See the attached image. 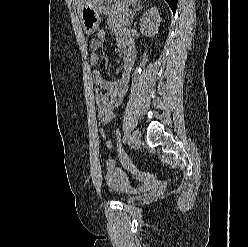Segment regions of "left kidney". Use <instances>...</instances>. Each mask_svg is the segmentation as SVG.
I'll return each instance as SVG.
<instances>
[{"mask_svg":"<svg viewBox=\"0 0 248 247\" xmlns=\"http://www.w3.org/2000/svg\"><path fill=\"white\" fill-rule=\"evenodd\" d=\"M161 18L156 7L150 8L140 19V31L145 36H153L157 33Z\"/></svg>","mask_w":248,"mask_h":247,"instance_id":"5707ae66","label":"left kidney"}]
</instances>
